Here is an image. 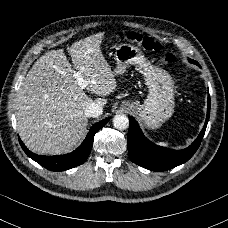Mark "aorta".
<instances>
[{
  "mask_svg": "<svg viewBox=\"0 0 228 228\" xmlns=\"http://www.w3.org/2000/svg\"><path fill=\"white\" fill-rule=\"evenodd\" d=\"M129 119L124 114H117L113 118V125L118 130H126L129 128Z\"/></svg>",
  "mask_w": 228,
  "mask_h": 228,
  "instance_id": "obj_1",
  "label": "aorta"
}]
</instances>
